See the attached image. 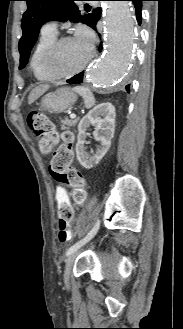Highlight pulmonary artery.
I'll list each match as a JSON object with an SVG mask.
<instances>
[{
    "label": "pulmonary artery",
    "mask_w": 183,
    "mask_h": 329,
    "mask_svg": "<svg viewBox=\"0 0 183 329\" xmlns=\"http://www.w3.org/2000/svg\"><path fill=\"white\" fill-rule=\"evenodd\" d=\"M42 31L46 33L57 34V23L55 21L47 22L43 27Z\"/></svg>",
    "instance_id": "e3ab8cb5"
}]
</instances>
